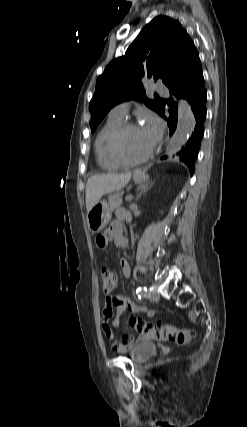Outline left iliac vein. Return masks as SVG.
<instances>
[{"mask_svg": "<svg viewBox=\"0 0 247 427\" xmlns=\"http://www.w3.org/2000/svg\"><path fill=\"white\" fill-rule=\"evenodd\" d=\"M160 299L159 295L156 293H152L149 295V300L151 302H157Z\"/></svg>", "mask_w": 247, "mask_h": 427, "instance_id": "1", "label": "left iliac vein"}]
</instances>
